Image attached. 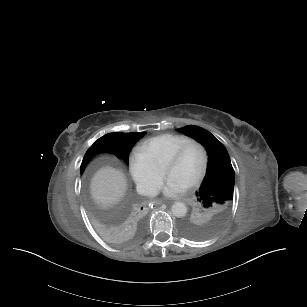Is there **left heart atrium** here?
<instances>
[{
  "instance_id": "left-heart-atrium-1",
  "label": "left heart atrium",
  "mask_w": 307,
  "mask_h": 307,
  "mask_svg": "<svg viewBox=\"0 0 307 307\" xmlns=\"http://www.w3.org/2000/svg\"><path fill=\"white\" fill-rule=\"evenodd\" d=\"M188 185L173 175H167L163 180L156 182L152 186L153 192H160L167 197H175L185 193Z\"/></svg>"
}]
</instances>
